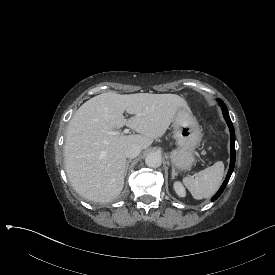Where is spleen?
Listing matches in <instances>:
<instances>
[{"instance_id":"spleen-1","label":"spleen","mask_w":275,"mask_h":275,"mask_svg":"<svg viewBox=\"0 0 275 275\" xmlns=\"http://www.w3.org/2000/svg\"><path fill=\"white\" fill-rule=\"evenodd\" d=\"M223 174L224 164L222 161H218L214 165L200 171L195 177H185L183 183L195 199L209 198L221 186Z\"/></svg>"}]
</instances>
